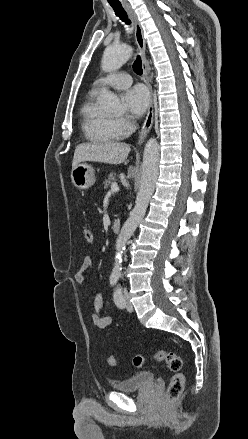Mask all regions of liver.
<instances>
[{"label":"liver","mask_w":248,"mask_h":439,"mask_svg":"<svg viewBox=\"0 0 248 439\" xmlns=\"http://www.w3.org/2000/svg\"><path fill=\"white\" fill-rule=\"evenodd\" d=\"M130 145L120 142L82 143L76 146L72 169L85 161L107 164H127Z\"/></svg>","instance_id":"1"}]
</instances>
